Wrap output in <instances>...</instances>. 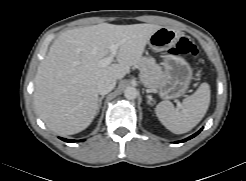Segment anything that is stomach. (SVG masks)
I'll use <instances>...</instances> for the list:
<instances>
[{
  "instance_id": "1",
  "label": "stomach",
  "mask_w": 246,
  "mask_h": 181,
  "mask_svg": "<svg viewBox=\"0 0 246 181\" xmlns=\"http://www.w3.org/2000/svg\"><path fill=\"white\" fill-rule=\"evenodd\" d=\"M180 36V32L175 29L161 27L151 35L148 44L153 50L162 52L172 47ZM162 65L164 77L153 91L163 99H176L183 96L193 77V70L189 63L180 56L165 55Z\"/></svg>"
}]
</instances>
